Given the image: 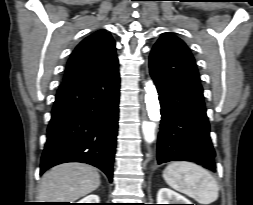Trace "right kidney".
I'll list each match as a JSON object with an SVG mask.
<instances>
[{"instance_id":"1","label":"right kidney","mask_w":253,"mask_h":205,"mask_svg":"<svg viewBox=\"0 0 253 205\" xmlns=\"http://www.w3.org/2000/svg\"><path fill=\"white\" fill-rule=\"evenodd\" d=\"M78 203H100V198L95 194H90L82 198Z\"/></svg>"}]
</instances>
